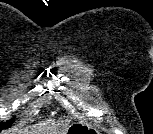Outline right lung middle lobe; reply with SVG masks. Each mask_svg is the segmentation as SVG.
<instances>
[{
  "label": "right lung middle lobe",
  "instance_id": "obj_1",
  "mask_svg": "<svg viewBox=\"0 0 153 134\" xmlns=\"http://www.w3.org/2000/svg\"><path fill=\"white\" fill-rule=\"evenodd\" d=\"M12 123H13V119H11V120H9V121H7V122H5V123H0V131H1L2 129H7V128H9V127L11 126Z\"/></svg>",
  "mask_w": 153,
  "mask_h": 134
}]
</instances>
